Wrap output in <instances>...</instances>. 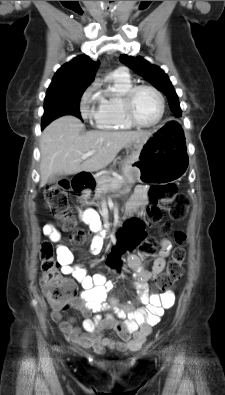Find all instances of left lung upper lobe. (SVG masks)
Here are the masks:
<instances>
[{
	"label": "left lung upper lobe",
	"mask_w": 225,
	"mask_h": 395,
	"mask_svg": "<svg viewBox=\"0 0 225 395\" xmlns=\"http://www.w3.org/2000/svg\"><path fill=\"white\" fill-rule=\"evenodd\" d=\"M120 61L164 93L169 101L170 109L175 116L179 117L182 115L178 96L168 76L160 67L150 64L142 57H130L125 54L120 56Z\"/></svg>",
	"instance_id": "1"
}]
</instances>
